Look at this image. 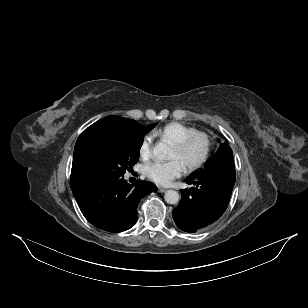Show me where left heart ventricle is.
Here are the masks:
<instances>
[{"label": "left heart ventricle", "mask_w": 308, "mask_h": 308, "mask_svg": "<svg viewBox=\"0 0 308 308\" xmlns=\"http://www.w3.org/2000/svg\"><path fill=\"white\" fill-rule=\"evenodd\" d=\"M204 141L200 138L194 140L183 152H178L174 147L171 150L170 159H179L185 167L197 161L204 151Z\"/></svg>", "instance_id": "obj_1"}]
</instances>
